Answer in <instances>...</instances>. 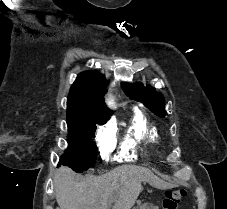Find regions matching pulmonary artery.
Masks as SVG:
<instances>
[{
  "label": "pulmonary artery",
  "instance_id": "pulmonary-artery-1",
  "mask_svg": "<svg viewBox=\"0 0 227 209\" xmlns=\"http://www.w3.org/2000/svg\"><path fill=\"white\" fill-rule=\"evenodd\" d=\"M139 104H140V105H143V104H144V101H143V100H140V101H139Z\"/></svg>",
  "mask_w": 227,
  "mask_h": 209
}]
</instances>
